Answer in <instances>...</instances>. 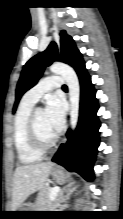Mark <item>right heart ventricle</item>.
<instances>
[{
	"mask_svg": "<svg viewBox=\"0 0 123 219\" xmlns=\"http://www.w3.org/2000/svg\"><path fill=\"white\" fill-rule=\"evenodd\" d=\"M32 111L33 105L22 100L14 119V144L18 158L23 164L36 163L42 157L30 142L28 123Z\"/></svg>",
	"mask_w": 123,
	"mask_h": 219,
	"instance_id": "obj_1",
	"label": "right heart ventricle"
}]
</instances>
